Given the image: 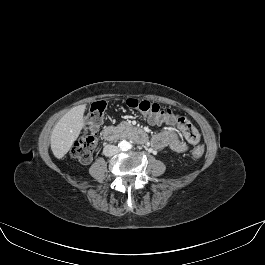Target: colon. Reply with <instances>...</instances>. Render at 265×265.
I'll use <instances>...</instances> for the list:
<instances>
[{"label": "colon", "mask_w": 265, "mask_h": 265, "mask_svg": "<svg viewBox=\"0 0 265 265\" xmlns=\"http://www.w3.org/2000/svg\"><path fill=\"white\" fill-rule=\"evenodd\" d=\"M126 104L145 115L158 118L173 116L169 108L161 107L159 104L147 100L128 99ZM105 107L103 101H98L91 105L85 117L88 134L76 141L71 149V156L82 163L90 162L93 157L97 146L96 131L103 121ZM202 155L203 148L200 146L194 148L191 152V156L194 159H199Z\"/></svg>", "instance_id": "5ec220e1"}]
</instances>
